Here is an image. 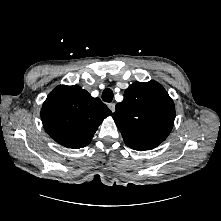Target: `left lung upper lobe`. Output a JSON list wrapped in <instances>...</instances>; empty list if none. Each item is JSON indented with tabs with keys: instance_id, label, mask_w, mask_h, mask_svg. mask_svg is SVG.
Here are the masks:
<instances>
[{
	"instance_id": "1",
	"label": "left lung upper lobe",
	"mask_w": 221,
	"mask_h": 221,
	"mask_svg": "<svg viewBox=\"0 0 221 221\" xmlns=\"http://www.w3.org/2000/svg\"><path fill=\"white\" fill-rule=\"evenodd\" d=\"M125 144L138 151L163 142L172 130L175 107L166 90L156 81L135 82L125 90L124 100L112 115Z\"/></svg>"
}]
</instances>
